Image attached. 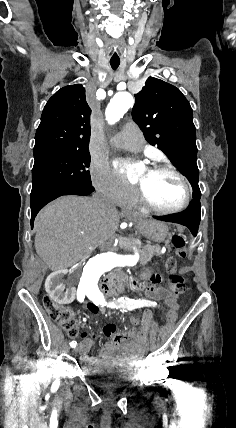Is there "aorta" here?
Masks as SVG:
<instances>
[{
  "label": "aorta",
  "mask_w": 236,
  "mask_h": 428,
  "mask_svg": "<svg viewBox=\"0 0 236 428\" xmlns=\"http://www.w3.org/2000/svg\"><path fill=\"white\" fill-rule=\"evenodd\" d=\"M133 104L134 99L130 93L121 92L115 94L105 111L108 123L115 124L118 122L133 107ZM133 249L136 250V247H133ZM137 261V251L134 255H120L110 251L92 257L83 268L79 283L81 291L87 296L100 294L98 282L104 273L119 266H134Z\"/></svg>",
  "instance_id": "1"
}]
</instances>
